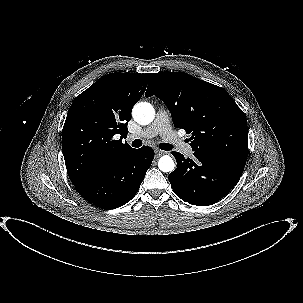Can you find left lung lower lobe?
<instances>
[{"mask_svg":"<svg viewBox=\"0 0 303 303\" xmlns=\"http://www.w3.org/2000/svg\"><path fill=\"white\" fill-rule=\"evenodd\" d=\"M172 154L177 168L169 174L171 187L182 200L197 206L223 198L239 181L247 161V157L213 152H194L193 159Z\"/></svg>","mask_w":303,"mask_h":303,"instance_id":"left-lung-lower-lobe-1","label":"left lung lower lobe"}]
</instances>
